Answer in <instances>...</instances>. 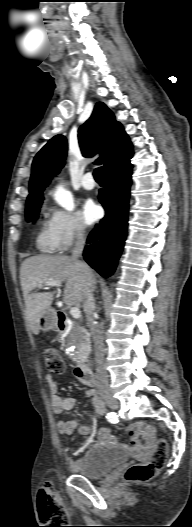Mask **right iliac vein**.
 I'll list each match as a JSON object with an SVG mask.
<instances>
[{"label": "right iliac vein", "instance_id": "63e3f726", "mask_svg": "<svg viewBox=\"0 0 192 527\" xmlns=\"http://www.w3.org/2000/svg\"><path fill=\"white\" fill-rule=\"evenodd\" d=\"M102 398L104 402L111 408V409H117L119 406L118 401L112 396L110 392H104L102 394Z\"/></svg>", "mask_w": 192, "mask_h": 527}]
</instances>
